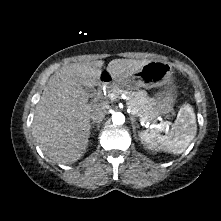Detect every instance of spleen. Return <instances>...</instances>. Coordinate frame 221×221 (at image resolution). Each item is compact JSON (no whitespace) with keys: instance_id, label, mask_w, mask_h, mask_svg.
Listing matches in <instances>:
<instances>
[{"instance_id":"spleen-1","label":"spleen","mask_w":221,"mask_h":221,"mask_svg":"<svg viewBox=\"0 0 221 221\" xmlns=\"http://www.w3.org/2000/svg\"><path fill=\"white\" fill-rule=\"evenodd\" d=\"M197 132L196 117L190 105H184L178 112L177 125L162 135L158 130H145L140 133L141 140L149 149L180 154L186 150Z\"/></svg>"}]
</instances>
